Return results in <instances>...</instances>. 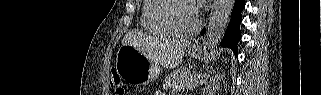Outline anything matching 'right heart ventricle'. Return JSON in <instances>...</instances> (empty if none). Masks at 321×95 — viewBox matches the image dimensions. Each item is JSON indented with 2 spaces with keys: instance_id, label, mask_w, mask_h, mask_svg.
I'll use <instances>...</instances> for the list:
<instances>
[{
  "instance_id": "right-heart-ventricle-1",
  "label": "right heart ventricle",
  "mask_w": 321,
  "mask_h": 95,
  "mask_svg": "<svg viewBox=\"0 0 321 95\" xmlns=\"http://www.w3.org/2000/svg\"><path fill=\"white\" fill-rule=\"evenodd\" d=\"M162 0H144L141 5V24L151 34L166 36L170 33L158 22L156 12Z\"/></svg>"
}]
</instances>
